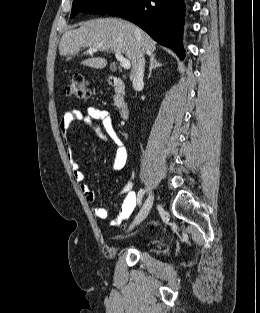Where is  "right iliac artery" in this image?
Returning <instances> with one entry per match:
<instances>
[{
  "label": "right iliac artery",
  "instance_id": "1",
  "mask_svg": "<svg viewBox=\"0 0 260 313\" xmlns=\"http://www.w3.org/2000/svg\"><path fill=\"white\" fill-rule=\"evenodd\" d=\"M144 194H145V190H144V189H141V190L138 192V203H139V205L141 204L142 197H143Z\"/></svg>",
  "mask_w": 260,
  "mask_h": 313
}]
</instances>
